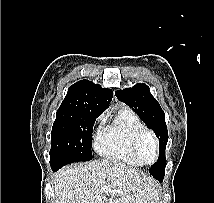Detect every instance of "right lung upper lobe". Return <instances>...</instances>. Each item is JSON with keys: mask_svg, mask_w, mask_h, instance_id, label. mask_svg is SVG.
<instances>
[{"mask_svg": "<svg viewBox=\"0 0 214 203\" xmlns=\"http://www.w3.org/2000/svg\"><path fill=\"white\" fill-rule=\"evenodd\" d=\"M113 91L89 80H80L68 88L61 106L87 107L103 112L112 100Z\"/></svg>", "mask_w": 214, "mask_h": 203, "instance_id": "obj_1", "label": "right lung upper lobe"}]
</instances>
